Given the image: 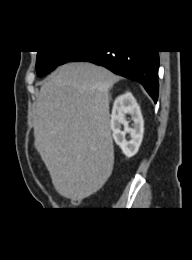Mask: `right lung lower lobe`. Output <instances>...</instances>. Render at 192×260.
Returning <instances> with one entry per match:
<instances>
[{"mask_svg":"<svg viewBox=\"0 0 192 260\" xmlns=\"http://www.w3.org/2000/svg\"><path fill=\"white\" fill-rule=\"evenodd\" d=\"M87 61L104 66L128 79L141 83L154 102L158 99V51H76L62 61Z\"/></svg>","mask_w":192,"mask_h":260,"instance_id":"obj_1","label":"right lung lower lobe"}]
</instances>
